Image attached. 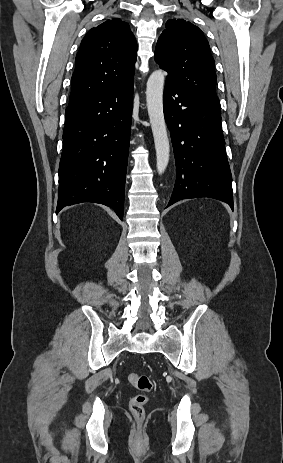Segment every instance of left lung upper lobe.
<instances>
[{"mask_svg": "<svg viewBox=\"0 0 283 463\" xmlns=\"http://www.w3.org/2000/svg\"><path fill=\"white\" fill-rule=\"evenodd\" d=\"M155 61L170 79L195 96L220 108L216 95V73L209 43L203 32L183 19H172L160 35Z\"/></svg>", "mask_w": 283, "mask_h": 463, "instance_id": "left-lung-upper-lobe-1", "label": "left lung upper lobe"}]
</instances>
